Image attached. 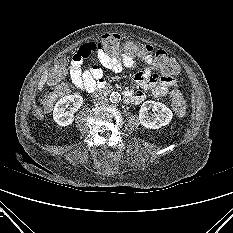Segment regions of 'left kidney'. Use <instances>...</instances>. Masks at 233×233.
Wrapping results in <instances>:
<instances>
[{
  "instance_id": "left-kidney-1",
  "label": "left kidney",
  "mask_w": 233,
  "mask_h": 233,
  "mask_svg": "<svg viewBox=\"0 0 233 233\" xmlns=\"http://www.w3.org/2000/svg\"><path fill=\"white\" fill-rule=\"evenodd\" d=\"M154 112L153 116L149 115V110ZM172 111L163 103L155 101H145L139 111L140 123L149 129H159L166 126L172 120Z\"/></svg>"
}]
</instances>
